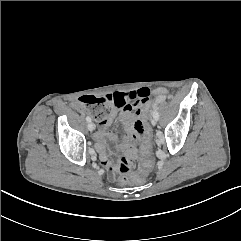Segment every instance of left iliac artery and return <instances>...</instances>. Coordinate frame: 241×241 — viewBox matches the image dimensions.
Instances as JSON below:
<instances>
[{
    "label": "left iliac artery",
    "instance_id": "1",
    "mask_svg": "<svg viewBox=\"0 0 241 241\" xmlns=\"http://www.w3.org/2000/svg\"><path fill=\"white\" fill-rule=\"evenodd\" d=\"M153 117L156 118L157 120L159 119V113L157 112L156 106H154Z\"/></svg>",
    "mask_w": 241,
    "mask_h": 241
}]
</instances>
